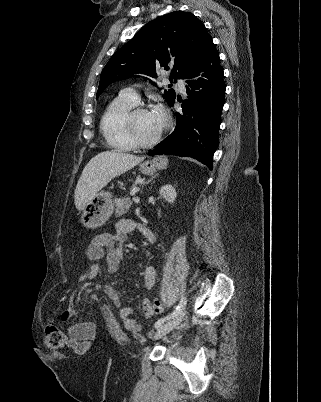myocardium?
Listing matches in <instances>:
<instances>
[{"mask_svg":"<svg viewBox=\"0 0 321 402\" xmlns=\"http://www.w3.org/2000/svg\"><path fill=\"white\" fill-rule=\"evenodd\" d=\"M148 111L145 107L142 106H136L131 108L125 115L124 117V129L125 133L129 139V141L136 147V148H141V149H148L153 146H155L162 138L164 135L165 131L168 129L170 126V121L168 118H164V124L161 127V129L158 131V133L149 141H142L135 130L134 126V117L136 114L141 113V112H146Z\"/></svg>","mask_w":321,"mask_h":402,"instance_id":"obj_1","label":"myocardium"}]
</instances>
